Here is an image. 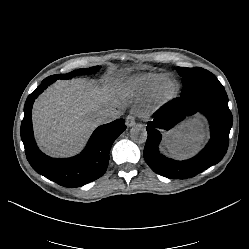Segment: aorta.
I'll list each match as a JSON object with an SVG mask.
<instances>
[{
	"label": "aorta",
	"mask_w": 249,
	"mask_h": 249,
	"mask_svg": "<svg viewBox=\"0 0 249 249\" xmlns=\"http://www.w3.org/2000/svg\"><path fill=\"white\" fill-rule=\"evenodd\" d=\"M130 136L134 142L142 144L146 142L147 131L142 126H135L131 128Z\"/></svg>",
	"instance_id": "762f6f07"
}]
</instances>
